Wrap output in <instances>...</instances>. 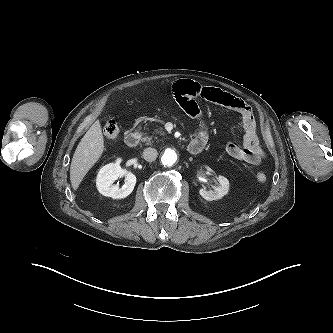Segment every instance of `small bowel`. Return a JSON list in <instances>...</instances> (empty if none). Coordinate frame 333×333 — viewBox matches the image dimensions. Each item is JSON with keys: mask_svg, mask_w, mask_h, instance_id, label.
Here are the masks:
<instances>
[{"mask_svg": "<svg viewBox=\"0 0 333 333\" xmlns=\"http://www.w3.org/2000/svg\"><path fill=\"white\" fill-rule=\"evenodd\" d=\"M173 94L180 106L193 118L202 119L201 110L196 102L197 98L204 99L222 107L237 112L242 119L244 130L241 145L230 142L226 146L227 153L234 159L244 161L250 165H259L264 152L259 144L256 121L251 107L242 99L233 96L219 88L203 86L190 80H180L173 86ZM193 140L208 141V131L201 125Z\"/></svg>", "mask_w": 333, "mask_h": 333, "instance_id": "1", "label": "small bowel"}]
</instances>
